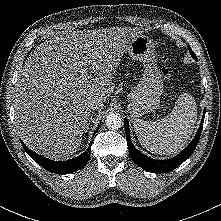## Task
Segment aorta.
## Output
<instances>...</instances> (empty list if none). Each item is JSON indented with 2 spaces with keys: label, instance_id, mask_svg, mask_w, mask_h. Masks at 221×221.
Masks as SVG:
<instances>
[{
  "label": "aorta",
  "instance_id": "obj_1",
  "mask_svg": "<svg viewBox=\"0 0 221 221\" xmlns=\"http://www.w3.org/2000/svg\"><path fill=\"white\" fill-rule=\"evenodd\" d=\"M122 123L123 122L121 116L114 113L108 115L105 120L106 126L111 130L120 128L122 126Z\"/></svg>",
  "mask_w": 221,
  "mask_h": 221
}]
</instances>
